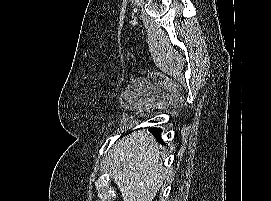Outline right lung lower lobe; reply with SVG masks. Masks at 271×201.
<instances>
[{"label":"right lung lower lobe","instance_id":"right-lung-lower-lobe-1","mask_svg":"<svg viewBox=\"0 0 271 201\" xmlns=\"http://www.w3.org/2000/svg\"><path fill=\"white\" fill-rule=\"evenodd\" d=\"M150 131L153 133L155 137L159 140V142L163 143L162 139L160 138L161 129L159 128H151Z\"/></svg>","mask_w":271,"mask_h":201}]
</instances>
